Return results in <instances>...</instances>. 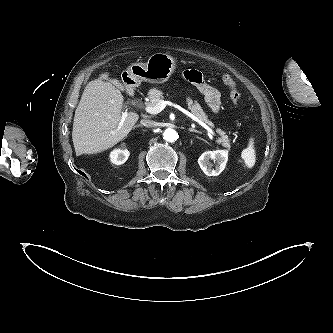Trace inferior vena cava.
I'll return each mask as SVG.
<instances>
[{"instance_id":"602c4592","label":"inferior vena cava","mask_w":333,"mask_h":333,"mask_svg":"<svg viewBox=\"0 0 333 333\" xmlns=\"http://www.w3.org/2000/svg\"><path fill=\"white\" fill-rule=\"evenodd\" d=\"M141 124L145 127H154L155 126V122L152 120H149V119H142Z\"/></svg>"}]
</instances>
